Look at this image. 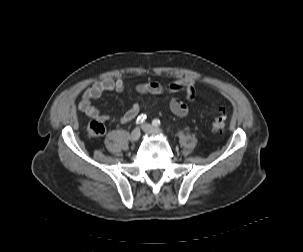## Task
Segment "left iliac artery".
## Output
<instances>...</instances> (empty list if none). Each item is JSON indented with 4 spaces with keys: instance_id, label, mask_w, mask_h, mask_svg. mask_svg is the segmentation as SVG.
Here are the masks:
<instances>
[{
    "instance_id": "44dca946",
    "label": "left iliac artery",
    "mask_w": 303,
    "mask_h": 252,
    "mask_svg": "<svg viewBox=\"0 0 303 252\" xmlns=\"http://www.w3.org/2000/svg\"><path fill=\"white\" fill-rule=\"evenodd\" d=\"M152 124H153L154 126L158 127V126L160 125V120H159V119H154V120L152 121Z\"/></svg>"
}]
</instances>
